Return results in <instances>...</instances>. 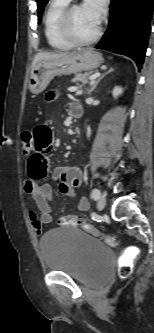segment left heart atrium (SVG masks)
<instances>
[{"label": "left heart atrium", "instance_id": "1", "mask_svg": "<svg viewBox=\"0 0 154 333\" xmlns=\"http://www.w3.org/2000/svg\"><path fill=\"white\" fill-rule=\"evenodd\" d=\"M82 7L93 19L100 23L104 13V0H84Z\"/></svg>", "mask_w": 154, "mask_h": 333}]
</instances>
